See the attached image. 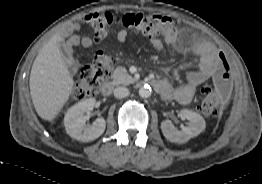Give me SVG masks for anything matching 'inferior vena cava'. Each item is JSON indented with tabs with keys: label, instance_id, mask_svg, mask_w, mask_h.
I'll list each match as a JSON object with an SVG mask.
<instances>
[{
	"label": "inferior vena cava",
	"instance_id": "obj_1",
	"mask_svg": "<svg viewBox=\"0 0 262 184\" xmlns=\"http://www.w3.org/2000/svg\"><path fill=\"white\" fill-rule=\"evenodd\" d=\"M129 93V89L126 87L120 86L114 89V96L118 99L127 97Z\"/></svg>",
	"mask_w": 262,
	"mask_h": 184
}]
</instances>
